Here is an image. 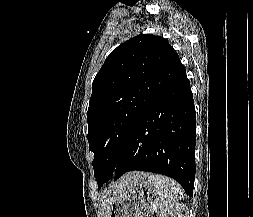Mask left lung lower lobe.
<instances>
[{
	"label": "left lung lower lobe",
	"instance_id": "left-lung-lower-lobe-1",
	"mask_svg": "<svg viewBox=\"0 0 253 217\" xmlns=\"http://www.w3.org/2000/svg\"><path fill=\"white\" fill-rule=\"evenodd\" d=\"M196 113L185 68L133 123L115 167L114 181L133 170L169 176L192 196Z\"/></svg>",
	"mask_w": 253,
	"mask_h": 217
}]
</instances>
